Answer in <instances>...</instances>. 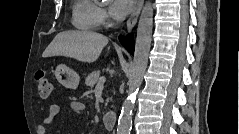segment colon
Wrapping results in <instances>:
<instances>
[{"label": "colon", "mask_w": 239, "mask_h": 134, "mask_svg": "<svg viewBox=\"0 0 239 134\" xmlns=\"http://www.w3.org/2000/svg\"><path fill=\"white\" fill-rule=\"evenodd\" d=\"M36 87L39 95L42 98H48L53 90V85L50 78L45 74V72L40 71L36 75Z\"/></svg>", "instance_id": "colon-1"}]
</instances>
